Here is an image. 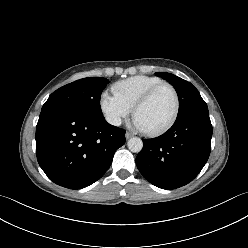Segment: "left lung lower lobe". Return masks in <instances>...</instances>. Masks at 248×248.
I'll use <instances>...</instances> for the list:
<instances>
[{"instance_id": "obj_1", "label": "left lung lower lobe", "mask_w": 248, "mask_h": 248, "mask_svg": "<svg viewBox=\"0 0 248 248\" xmlns=\"http://www.w3.org/2000/svg\"><path fill=\"white\" fill-rule=\"evenodd\" d=\"M211 138L208 108L203 107L176 120L163 135L142 139L137 167L153 185L168 190L179 188L191 182L204 167Z\"/></svg>"}]
</instances>
